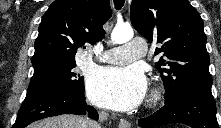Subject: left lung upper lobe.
<instances>
[{"label":"left lung upper lobe","instance_id":"obj_1","mask_svg":"<svg viewBox=\"0 0 221 128\" xmlns=\"http://www.w3.org/2000/svg\"><path fill=\"white\" fill-rule=\"evenodd\" d=\"M130 18L150 42L160 43L156 63L165 86V103L191 90L211 91L209 54L199 13L187 0H132Z\"/></svg>","mask_w":221,"mask_h":128}]
</instances>
